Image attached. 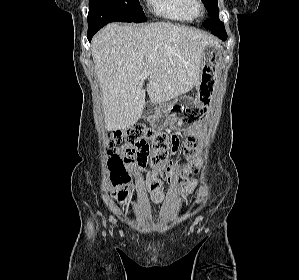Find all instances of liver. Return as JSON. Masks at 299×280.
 Returning a JSON list of instances; mask_svg holds the SVG:
<instances>
[{"label": "liver", "instance_id": "1", "mask_svg": "<svg viewBox=\"0 0 299 280\" xmlns=\"http://www.w3.org/2000/svg\"><path fill=\"white\" fill-rule=\"evenodd\" d=\"M207 46L218 44L200 31L164 22L144 27L111 23L103 28L93 38L91 52L107 130H126L140 119L145 78L154 104L197 86Z\"/></svg>", "mask_w": 299, "mask_h": 280}]
</instances>
